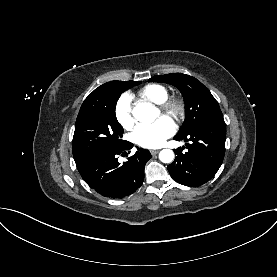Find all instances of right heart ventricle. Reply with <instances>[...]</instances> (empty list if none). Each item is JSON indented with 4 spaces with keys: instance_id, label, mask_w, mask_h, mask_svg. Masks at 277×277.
<instances>
[{
    "instance_id": "e07e8e85",
    "label": "right heart ventricle",
    "mask_w": 277,
    "mask_h": 277,
    "mask_svg": "<svg viewBox=\"0 0 277 277\" xmlns=\"http://www.w3.org/2000/svg\"><path fill=\"white\" fill-rule=\"evenodd\" d=\"M137 95L146 102L159 105L168 98L169 93L167 88L160 84H149L141 88Z\"/></svg>"
}]
</instances>
